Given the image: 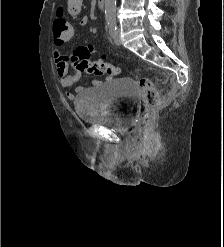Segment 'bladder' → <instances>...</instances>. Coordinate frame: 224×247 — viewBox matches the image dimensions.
I'll return each instance as SVG.
<instances>
[{
    "label": "bladder",
    "instance_id": "obj_1",
    "mask_svg": "<svg viewBox=\"0 0 224 247\" xmlns=\"http://www.w3.org/2000/svg\"><path fill=\"white\" fill-rule=\"evenodd\" d=\"M139 104L137 84L129 78H118L84 89L74 109L86 124L127 132L134 125Z\"/></svg>",
    "mask_w": 224,
    "mask_h": 247
}]
</instances>
